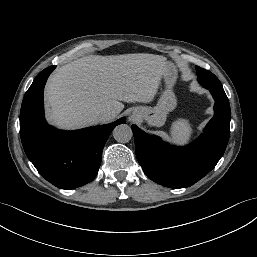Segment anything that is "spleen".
Instances as JSON below:
<instances>
[{"label": "spleen", "instance_id": "3e777b00", "mask_svg": "<svg viewBox=\"0 0 257 257\" xmlns=\"http://www.w3.org/2000/svg\"><path fill=\"white\" fill-rule=\"evenodd\" d=\"M171 140L177 144H185L189 142L193 128L188 120L180 119L171 127Z\"/></svg>", "mask_w": 257, "mask_h": 257}]
</instances>
